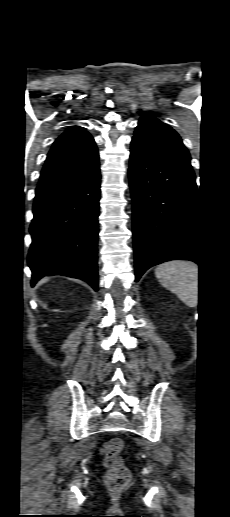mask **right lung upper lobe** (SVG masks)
Masks as SVG:
<instances>
[{"mask_svg":"<svg viewBox=\"0 0 230 517\" xmlns=\"http://www.w3.org/2000/svg\"><path fill=\"white\" fill-rule=\"evenodd\" d=\"M91 135L81 127L67 129L55 140L47 155L38 185H46L81 174L98 163Z\"/></svg>","mask_w":230,"mask_h":517,"instance_id":"cb5924a9","label":"right lung upper lobe"}]
</instances>
